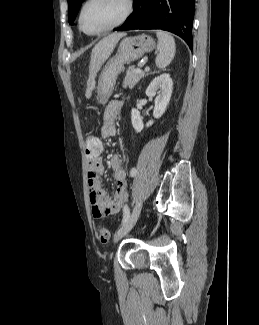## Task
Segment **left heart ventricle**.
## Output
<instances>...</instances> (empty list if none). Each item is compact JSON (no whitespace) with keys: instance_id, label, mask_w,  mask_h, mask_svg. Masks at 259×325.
<instances>
[{"instance_id":"obj_1","label":"left heart ventricle","mask_w":259,"mask_h":325,"mask_svg":"<svg viewBox=\"0 0 259 325\" xmlns=\"http://www.w3.org/2000/svg\"><path fill=\"white\" fill-rule=\"evenodd\" d=\"M124 11V0H92L83 12V27L88 32L100 31L118 21Z\"/></svg>"}]
</instances>
